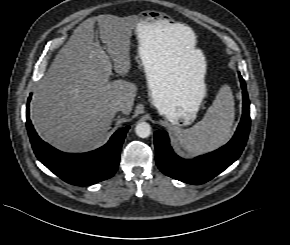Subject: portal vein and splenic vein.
Returning a JSON list of instances; mask_svg holds the SVG:
<instances>
[{"mask_svg": "<svg viewBox=\"0 0 290 245\" xmlns=\"http://www.w3.org/2000/svg\"><path fill=\"white\" fill-rule=\"evenodd\" d=\"M105 63L107 64L105 76L108 79L109 76L111 75V66H110V62L108 61L107 57L105 59Z\"/></svg>", "mask_w": 290, "mask_h": 245, "instance_id": "1", "label": "portal vein and splenic vein"}]
</instances>
